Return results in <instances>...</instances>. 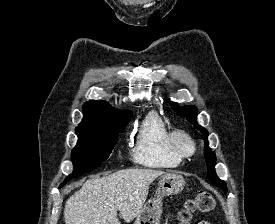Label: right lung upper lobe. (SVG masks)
Listing matches in <instances>:
<instances>
[{"label": "right lung upper lobe", "instance_id": "cb5924a9", "mask_svg": "<svg viewBox=\"0 0 275 224\" xmlns=\"http://www.w3.org/2000/svg\"><path fill=\"white\" fill-rule=\"evenodd\" d=\"M83 114L84 118L78 127L111 125L128 121L131 117V112H117L104 101L86 102L83 105Z\"/></svg>", "mask_w": 275, "mask_h": 224}]
</instances>
